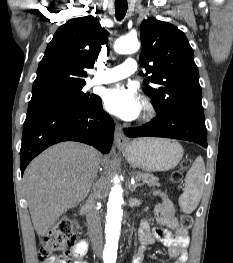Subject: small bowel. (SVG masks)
<instances>
[{"instance_id": "small-bowel-1", "label": "small bowel", "mask_w": 233, "mask_h": 263, "mask_svg": "<svg viewBox=\"0 0 233 263\" xmlns=\"http://www.w3.org/2000/svg\"><path fill=\"white\" fill-rule=\"evenodd\" d=\"M156 194L160 197V201L154 210L155 217L159 224L165 228H151L147 221H142L138 231L141 247L133 256L132 263H142L145 251L156 241L168 248V254L174 259V263H186L188 259L187 248L190 242L189 233L179 225L173 203L160 192L157 191ZM87 252L88 242L80 240L75 248V256L84 258ZM74 263L87 262L79 260Z\"/></svg>"}]
</instances>
